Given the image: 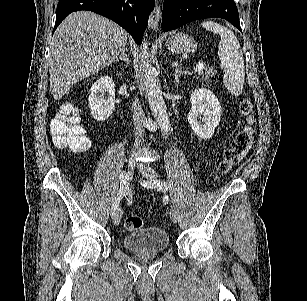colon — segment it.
Returning <instances> with one entry per match:
<instances>
[{"label":"colon","mask_w":307,"mask_h":301,"mask_svg":"<svg viewBox=\"0 0 307 301\" xmlns=\"http://www.w3.org/2000/svg\"><path fill=\"white\" fill-rule=\"evenodd\" d=\"M240 112L246 119V125L224 151L218 166V176L226 174L239 164L252 148L254 142L252 103L249 100H243L240 103ZM51 132L54 144L59 148L85 150L90 145V140L71 105L64 106L60 114L52 120ZM124 226L129 231L138 230L143 226V219L138 215H128Z\"/></svg>","instance_id":"5ec220e1"}]
</instances>
